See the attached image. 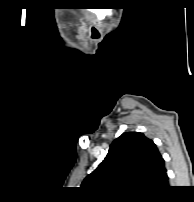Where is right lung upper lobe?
I'll use <instances>...</instances> for the list:
<instances>
[{
  "label": "right lung upper lobe",
  "instance_id": "1",
  "mask_svg": "<svg viewBox=\"0 0 194 202\" xmlns=\"http://www.w3.org/2000/svg\"><path fill=\"white\" fill-rule=\"evenodd\" d=\"M167 184L165 162L154 142L143 133L127 132L114 140L82 186L102 196L151 197Z\"/></svg>",
  "mask_w": 194,
  "mask_h": 202
}]
</instances>
